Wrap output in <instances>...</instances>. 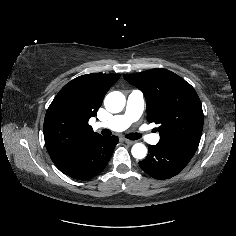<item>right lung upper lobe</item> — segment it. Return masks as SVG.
Returning <instances> with one entry per match:
<instances>
[{"label": "right lung upper lobe", "mask_w": 236, "mask_h": 236, "mask_svg": "<svg viewBox=\"0 0 236 236\" xmlns=\"http://www.w3.org/2000/svg\"><path fill=\"white\" fill-rule=\"evenodd\" d=\"M120 74H86L67 83L50 104L44 120L46 149L63 169L101 137L88 124Z\"/></svg>", "instance_id": "obj_1"}]
</instances>
